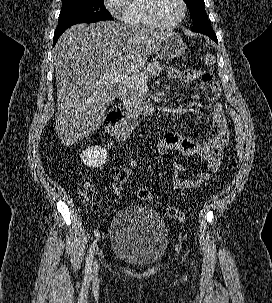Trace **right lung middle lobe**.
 <instances>
[{"mask_svg":"<svg viewBox=\"0 0 272 303\" xmlns=\"http://www.w3.org/2000/svg\"><path fill=\"white\" fill-rule=\"evenodd\" d=\"M102 20H113L104 6V0H62L55 33L65 31L77 23H93Z\"/></svg>","mask_w":272,"mask_h":303,"instance_id":"obj_1","label":"right lung middle lobe"}]
</instances>
